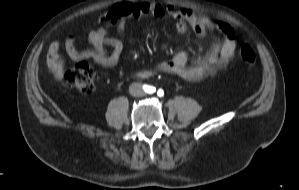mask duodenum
I'll return each mask as SVG.
<instances>
[{"mask_svg":"<svg viewBox=\"0 0 299 190\" xmlns=\"http://www.w3.org/2000/svg\"><path fill=\"white\" fill-rule=\"evenodd\" d=\"M139 77L141 78H147V77H150L152 75V72L151 71H141L139 74Z\"/></svg>","mask_w":299,"mask_h":190,"instance_id":"duodenum-1","label":"duodenum"}]
</instances>
